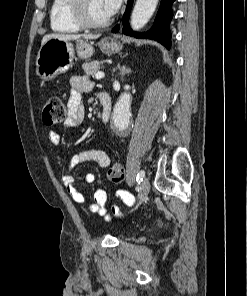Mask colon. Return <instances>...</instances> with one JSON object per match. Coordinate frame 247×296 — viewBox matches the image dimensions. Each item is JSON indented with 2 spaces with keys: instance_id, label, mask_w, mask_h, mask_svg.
<instances>
[{
  "instance_id": "obj_1",
  "label": "colon",
  "mask_w": 247,
  "mask_h": 296,
  "mask_svg": "<svg viewBox=\"0 0 247 296\" xmlns=\"http://www.w3.org/2000/svg\"><path fill=\"white\" fill-rule=\"evenodd\" d=\"M66 116V107L58 97L47 100L42 111V120L46 125H55ZM109 179L115 184H123L125 181V170L121 163H114L108 171Z\"/></svg>"
}]
</instances>
